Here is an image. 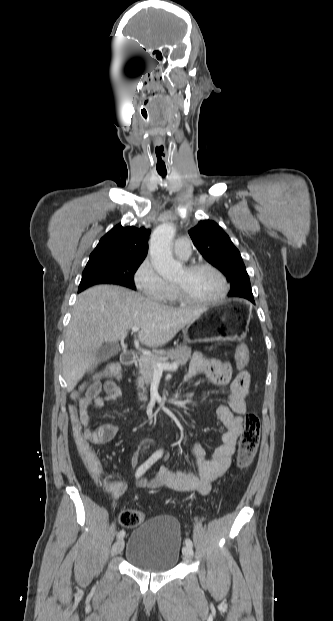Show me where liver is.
Here are the masks:
<instances>
[{
	"label": "liver",
	"mask_w": 333,
	"mask_h": 621,
	"mask_svg": "<svg viewBox=\"0 0 333 621\" xmlns=\"http://www.w3.org/2000/svg\"><path fill=\"white\" fill-rule=\"evenodd\" d=\"M204 308H172L153 302L132 290L100 285L77 297L65 337L63 377L71 392L86 370L99 359L107 342L123 340L129 329L141 328L138 338L147 347L168 343Z\"/></svg>",
	"instance_id": "6515ba94"
}]
</instances>
